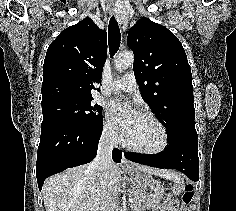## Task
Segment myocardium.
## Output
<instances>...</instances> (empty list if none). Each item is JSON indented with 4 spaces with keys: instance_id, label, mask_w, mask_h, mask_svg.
<instances>
[{
    "instance_id": "f54148a6",
    "label": "myocardium",
    "mask_w": 236,
    "mask_h": 211,
    "mask_svg": "<svg viewBox=\"0 0 236 211\" xmlns=\"http://www.w3.org/2000/svg\"><path fill=\"white\" fill-rule=\"evenodd\" d=\"M140 115L149 118L159 127L161 134H162L161 145L155 150H145V149L137 148V147L131 145L130 143H128L125 139V135H123V138H122L123 146L125 148H127L128 150H131V151L139 153V154L158 155V154L163 153L169 145V135H168L165 125L151 112L142 111V112H140Z\"/></svg>"
}]
</instances>
